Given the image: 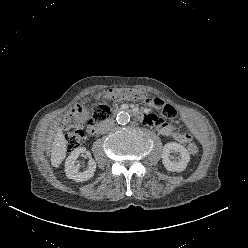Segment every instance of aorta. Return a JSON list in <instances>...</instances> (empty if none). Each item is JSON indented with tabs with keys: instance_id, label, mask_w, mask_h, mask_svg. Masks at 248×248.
<instances>
[{
	"instance_id": "aorta-1",
	"label": "aorta",
	"mask_w": 248,
	"mask_h": 248,
	"mask_svg": "<svg viewBox=\"0 0 248 248\" xmlns=\"http://www.w3.org/2000/svg\"><path fill=\"white\" fill-rule=\"evenodd\" d=\"M118 124L125 125L130 121V115L127 112H119L116 116Z\"/></svg>"
}]
</instances>
